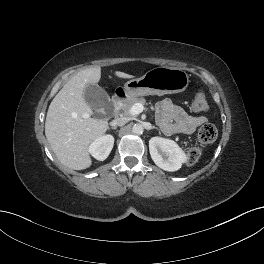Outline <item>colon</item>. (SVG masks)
<instances>
[{
  "label": "colon",
  "instance_id": "1",
  "mask_svg": "<svg viewBox=\"0 0 264 264\" xmlns=\"http://www.w3.org/2000/svg\"><path fill=\"white\" fill-rule=\"evenodd\" d=\"M190 108L195 113H202L208 110L209 104L204 92L196 91L191 99ZM217 129L212 124H204L198 131V140L201 144H210L217 138ZM200 152L193 148L188 152V164L192 165L197 162Z\"/></svg>",
  "mask_w": 264,
  "mask_h": 264
}]
</instances>
